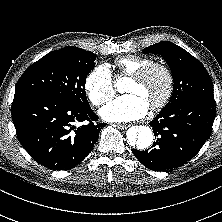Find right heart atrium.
Returning a JSON list of instances; mask_svg holds the SVG:
<instances>
[{"label": "right heart atrium", "mask_w": 222, "mask_h": 222, "mask_svg": "<svg viewBox=\"0 0 222 222\" xmlns=\"http://www.w3.org/2000/svg\"><path fill=\"white\" fill-rule=\"evenodd\" d=\"M84 88L90 102L102 106L115 94L114 77L107 65L96 66L86 77Z\"/></svg>", "instance_id": "right-heart-atrium-1"}]
</instances>
